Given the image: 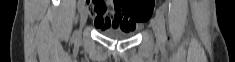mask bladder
<instances>
[{
	"label": "bladder",
	"instance_id": "obj_1",
	"mask_svg": "<svg viewBox=\"0 0 235 62\" xmlns=\"http://www.w3.org/2000/svg\"><path fill=\"white\" fill-rule=\"evenodd\" d=\"M103 35L118 40L129 39L135 34V30L106 29L101 31Z\"/></svg>",
	"mask_w": 235,
	"mask_h": 62
}]
</instances>
